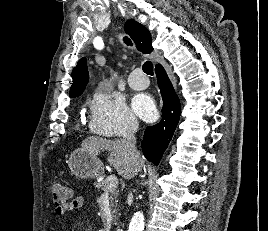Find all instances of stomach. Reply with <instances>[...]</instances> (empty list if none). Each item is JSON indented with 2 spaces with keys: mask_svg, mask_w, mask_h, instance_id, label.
<instances>
[{
  "mask_svg": "<svg viewBox=\"0 0 268 231\" xmlns=\"http://www.w3.org/2000/svg\"><path fill=\"white\" fill-rule=\"evenodd\" d=\"M68 166L77 178H98L103 173V166L96 155L84 148L75 149L69 157Z\"/></svg>",
  "mask_w": 268,
  "mask_h": 231,
  "instance_id": "obj_1",
  "label": "stomach"
}]
</instances>
